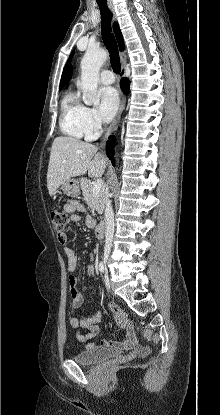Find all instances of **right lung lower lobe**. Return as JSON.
I'll list each match as a JSON object with an SVG mask.
<instances>
[{"mask_svg": "<svg viewBox=\"0 0 220 415\" xmlns=\"http://www.w3.org/2000/svg\"><path fill=\"white\" fill-rule=\"evenodd\" d=\"M121 88L123 90L124 93H128L129 91V85L130 82L127 78H123L121 79L120 82ZM114 146H115V137L114 136H110L109 140L106 143V154L108 156V158L112 161V164L115 165L114 162Z\"/></svg>", "mask_w": 220, "mask_h": 415, "instance_id": "98d812e1", "label": "right lung lower lobe"}]
</instances>
